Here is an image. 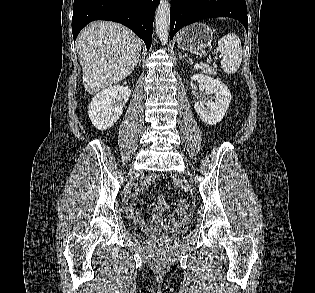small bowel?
Segmentation results:
<instances>
[{
    "label": "small bowel",
    "mask_w": 315,
    "mask_h": 293,
    "mask_svg": "<svg viewBox=\"0 0 315 293\" xmlns=\"http://www.w3.org/2000/svg\"><path fill=\"white\" fill-rule=\"evenodd\" d=\"M159 176L157 174H153L149 176L144 182H142L135 190V192L128 197L125 202V210L127 214L136 221H141V215L136 210L135 206L138 201V195L145 191L152 183L157 181ZM168 209V205L165 201L164 196L160 195L157 199V206L155 211L151 215V221L153 223H159L161 221V214L162 212ZM186 213L185 211H174L173 215L169 217V221H178L185 218Z\"/></svg>",
    "instance_id": "small-bowel-1"
}]
</instances>
